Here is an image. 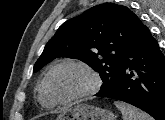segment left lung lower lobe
Segmentation results:
<instances>
[{"instance_id": "0a47b994", "label": "left lung lower lobe", "mask_w": 165, "mask_h": 120, "mask_svg": "<svg viewBox=\"0 0 165 120\" xmlns=\"http://www.w3.org/2000/svg\"><path fill=\"white\" fill-rule=\"evenodd\" d=\"M124 101L165 120V57L146 27L124 56L119 85L102 96Z\"/></svg>"}]
</instances>
